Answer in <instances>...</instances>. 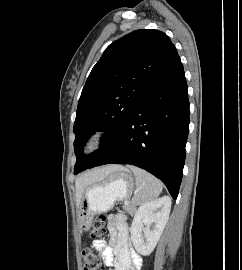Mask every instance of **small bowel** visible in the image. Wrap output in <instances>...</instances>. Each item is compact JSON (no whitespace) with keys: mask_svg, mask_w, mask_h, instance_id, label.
I'll return each instance as SVG.
<instances>
[{"mask_svg":"<svg viewBox=\"0 0 242 270\" xmlns=\"http://www.w3.org/2000/svg\"><path fill=\"white\" fill-rule=\"evenodd\" d=\"M109 244L102 239H95L93 246L100 252L109 270H139L141 257L131 248L129 226L124 214L110 215L108 218Z\"/></svg>","mask_w":242,"mask_h":270,"instance_id":"1","label":"small bowel"}]
</instances>
